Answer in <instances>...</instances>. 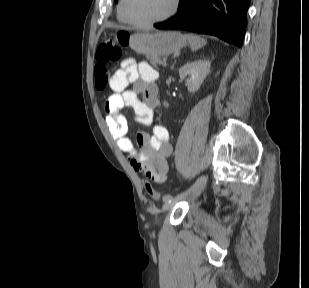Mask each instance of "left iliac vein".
<instances>
[{
    "instance_id": "4c4485c4",
    "label": "left iliac vein",
    "mask_w": 309,
    "mask_h": 288,
    "mask_svg": "<svg viewBox=\"0 0 309 288\" xmlns=\"http://www.w3.org/2000/svg\"><path fill=\"white\" fill-rule=\"evenodd\" d=\"M206 181L205 175L200 176L194 185L189 189V193L184 199H193L199 196L205 188ZM178 200L180 199L173 198L170 201H164L162 211L171 209Z\"/></svg>"
}]
</instances>
